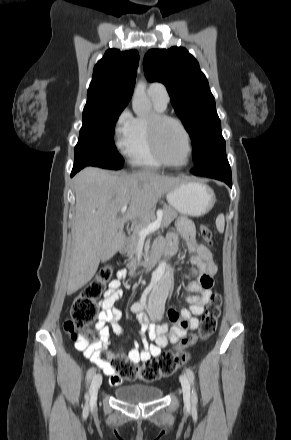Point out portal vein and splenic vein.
<instances>
[{
	"label": "portal vein and splenic vein",
	"instance_id": "1",
	"mask_svg": "<svg viewBox=\"0 0 291 440\" xmlns=\"http://www.w3.org/2000/svg\"><path fill=\"white\" fill-rule=\"evenodd\" d=\"M126 210H127V206H123L122 209H121V213H122V214L125 213ZM162 217H163V213L160 212V213L157 215V219H156L155 221L151 222V223L148 224L146 227L141 228V229L139 230V235H140V237H146V236L149 235L150 233H152V232L156 231L157 229H159L160 226H161Z\"/></svg>",
	"mask_w": 291,
	"mask_h": 440
}]
</instances>
